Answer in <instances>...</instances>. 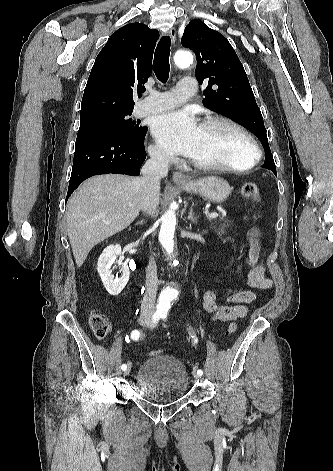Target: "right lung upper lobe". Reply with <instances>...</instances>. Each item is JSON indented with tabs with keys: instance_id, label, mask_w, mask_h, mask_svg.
Wrapping results in <instances>:
<instances>
[{
	"instance_id": "1",
	"label": "right lung upper lobe",
	"mask_w": 333,
	"mask_h": 471,
	"mask_svg": "<svg viewBox=\"0 0 333 471\" xmlns=\"http://www.w3.org/2000/svg\"><path fill=\"white\" fill-rule=\"evenodd\" d=\"M159 33L143 23L118 29L98 54L85 87L80 119L133 110L152 72Z\"/></svg>"
}]
</instances>
